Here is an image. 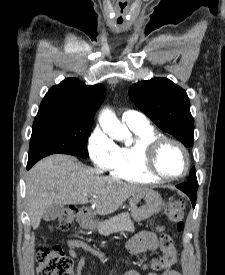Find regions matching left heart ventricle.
I'll return each mask as SVG.
<instances>
[{"label": "left heart ventricle", "mask_w": 225, "mask_h": 275, "mask_svg": "<svg viewBox=\"0 0 225 275\" xmlns=\"http://www.w3.org/2000/svg\"><path fill=\"white\" fill-rule=\"evenodd\" d=\"M159 170L166 175L180 174L184 168L181 151L173 144H166L157 159Z\"/></svg>", "instance_id": "left-heart-ventricle-1"}]
</instances>
